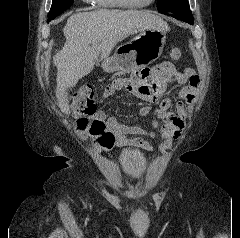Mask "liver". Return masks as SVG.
<instances>
[{"mask_svg": "<svg viewBox=\"0 0 240 238\" xmlns=\"http://www.w3.org/2000/svg\"><path fill=\"white\" fill-rule=\"evenodd\" d=\"M150 28L169 30L167 23L150 11L101 9L71 15L63 29L64 47L53 57L61 111L70 113L68 89L92 71L95 60L108 58L118 42Z\"/></svg>", "mask_w": 240, "mask_h": 238, "instance_id": "1", "label": "liver"}]
</instances>
